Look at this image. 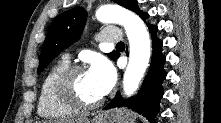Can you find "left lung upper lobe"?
I'll use <instances>...</instances> for the list:
<instances>
[{"mask_svg": "<svg viewBox=\"0 0 221 123\" xmlns=\"http://www.w3.org/2000/svg\"><path fill=\"white\" fill-rule=\"evenodd\" d=\"M115 3L137 13L139 11L136 0H114ZM87 12L82 7L72 8L58 15L50 24L46 39L42 46L39 59L38 74L65 48L76 42L86 23ZM118 53L113 51L108 54L115 60Z\"/></svg>", "mask_w": 221, "mask_h": 123, "instance_id": "5c2ea615", "label": "left lung upper lobe"}]
</instances>
